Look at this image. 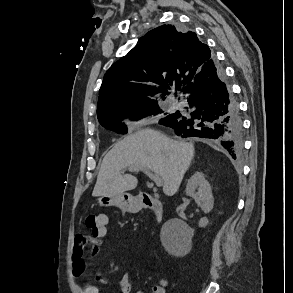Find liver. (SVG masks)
<instances>
[{"instance_id": "6515ba94", "label": "liver", "mask_w": 293, "mask_h": 293, "mask_svg": "<svg viewBox=\"0 0 293 293\" xmlns=\"http://www.w3.org/2000/svg\"><path fill=\"white\" fill-rule=\"evenodd\" d=\"M192 143L172 140L158 131L140 130L117 142L104 157L92 196H113L133 190L136 177L123 174L130 167L146 168L163 180V192L173 196L194 158Z\"/></svg>"}]
</instances>
